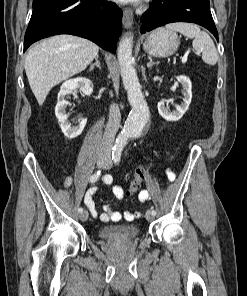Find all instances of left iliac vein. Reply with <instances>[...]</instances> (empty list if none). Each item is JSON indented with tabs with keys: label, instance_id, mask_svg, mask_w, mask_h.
Masks as SVG:
<instances>
[{
	"label": "left iliac vein",
	"instance_id": "obj_1",
	"mask_svg": "<svg viewBox=\"0 0 247 296\" xmlns=\"http://www.w3.org/2000/svg\"><path fill=\"white\" fill-rule=\"evenodd\" d=\"M111 167H112V161L110 158H108L106 160V162L103 164V168L107 170V169H110ZM145 217H146L147 221H153L155 218V215L151 211L148 210V211H146Z\"/></svg>",
	"mask_w": 247,
	"mask_h": 296
}]
</instances>
